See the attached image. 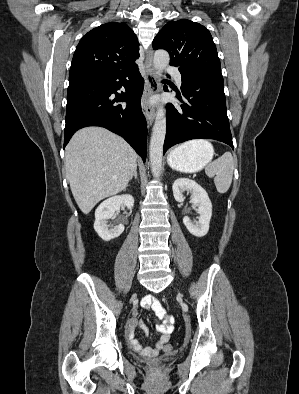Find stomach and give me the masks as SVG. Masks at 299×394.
<instances>
[{
  "instance_id": "0dacf381",
  "label": "stomach",
  "mask_w": 299,
  "mask_h": 394,
  "mask_svg": "<svg viewBox=\"0 0 299 394\" xmlns=\"http://www.w3.org/2000/svg\"><path fill=\"white\" fill-rule=\"evenodd\" d=\"M211 146L187 144L174 149L168 156V164L177 171L194 173L201 170L213 157Z\"/></svg>"
}]
</instances>
